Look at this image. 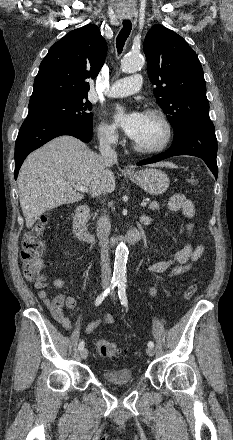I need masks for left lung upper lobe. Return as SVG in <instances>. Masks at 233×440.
<instances>
[{
  "label": "left lung upper lobe",
  "mask_w": 233,
  "mask_h": 440,
  "mask_svg": "<svg viewBox=\"0 0 233 440\" xmlns=\"http://www.w3.org/2000/svg\"><path fill=\"white\" fill-rule=\"evenodd\" d=\"M144 53L159 106L178 139L192 124L210 122L203 69L194 50L174 31L154 25L146 34Z\"/></svg>",
  "instance_id": "left-lung-upper-lobe-1"
}]
</instances>
